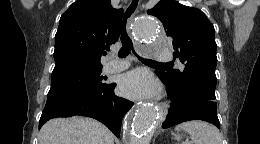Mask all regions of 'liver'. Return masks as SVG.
<instances>
[{
    "instance_id": "6515ba94",
    "label": "liver",
    "mask_w": 260,
    "mask_h": 144,
    "mask_svg": "<svg viewBox=\"0 0 260 144\" xmlns=\"http://www.w3.org/2000/svg\"><path fill=\"white\" fill-rule=\"evenodd\" d=\"M114 135L102 123L87 117L56 118L43 125L39 144H114Z\"/></svg>"
}]
</instances>
